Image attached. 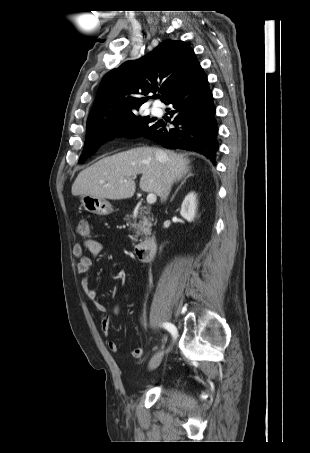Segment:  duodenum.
Wrapping results in <instances>:
<instances>
[{"label":"duodenum","instance_id":"obj_1","mask_svg":"<svg viewBox=\"0 0 310 453\" xmlns=\"http://www.w3.org/2000/svg\"><path fill=\"white\" fill-rule=\"evenodd\" d=\"M156 252V238L150 236L135 247V254L139 261L148 262L153 259Z\"/></svg>","mask_w":310,"mask_h":453}]
</instances>
